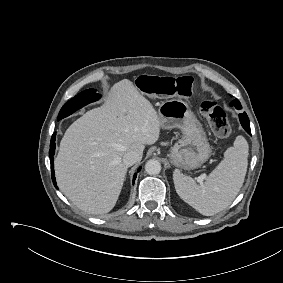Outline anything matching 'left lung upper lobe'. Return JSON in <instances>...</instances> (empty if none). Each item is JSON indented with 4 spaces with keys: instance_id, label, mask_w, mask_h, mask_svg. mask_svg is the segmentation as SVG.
I'll use <instances>...</instances> for the list:
<instances>
[{
    "instance_id": "obj_1",
    "label": "left lung upper lobe",
    "mask_w": 283,
    "mask_h": 283,
    "mask_svg": "<svg viewBox=\"0 0 283 283\" xmlns=\"http://www.w3.org/2000/svg\"><path fill=\"white\" fill-rule=\"evenodd\" d=\"M230 105L235 106L238 109L241 108V105H240V102L238 101V99L233 100Z\"/></svg>"
}]
</instances>
